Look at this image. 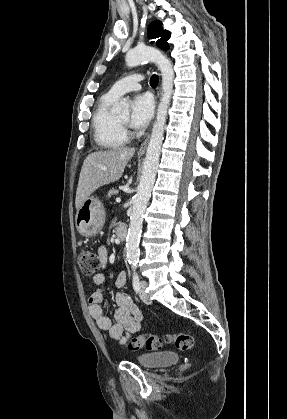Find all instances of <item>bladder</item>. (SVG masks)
Instances as JSON below:
<instances>
[{
    "label": "bladder",
    "mask_w": 287,
    "mask_h": 419,
    "mask_svg": "<svg viewBox=\"0 0 287 419\" xmlns=\"http://www.w3.org/2000/svg\"><path fill=\"white\" fill-rule=\"evenodd\" d=\"M178 356L172 352H155L141 355L137 362L144 368H161L178 362Z\"/></svg>",
    "instance_id": "obj_1"
}]
</instances>
